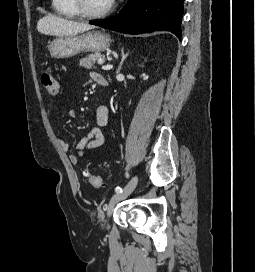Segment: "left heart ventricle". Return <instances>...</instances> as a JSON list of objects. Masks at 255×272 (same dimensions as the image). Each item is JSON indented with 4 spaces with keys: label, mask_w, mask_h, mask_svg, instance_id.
I'll return each instance as SVG.
<instances>
[{
    "label": "left heart ventricle",
    "mask_w": 255,
    "mask_h": 272,
    "mask_svg": "<svg viewBox=\"0 0 255 272\" xmlns=\"http://www.w3.org/2000/svg\"><path fill=\"white\" fill-rule=\"evenodd\" d=\"M111 4L110 0H85L86 8L94 13L102 12Z\"/></svg>",
    "instance_id": "left-heart-ventricle-1"
}]
</instances>
